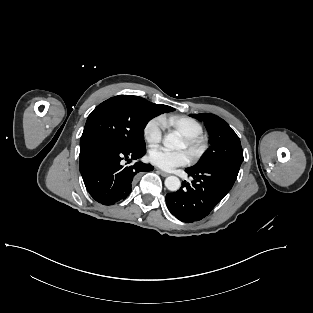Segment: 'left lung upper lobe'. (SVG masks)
<instances>
[{
  "instance_id": "left-lung-upper-lobe-1",
  "label": "left lung upper lobe",
  "mask_w": 313,
  "mask_h": 313,
  "mask_svg": "<svg viewBox=\"0 0 313 313\" xmlns=\"http://www.w3.org/2000/svg\"><path fill=\"white\" fill-rule=\"evenodd\" d=\"M203 121L210 135L211 147L205 157L193 168H202L218 164L241 165L243 162V150L240 139L233 129L220 117L214 114H191Z\"/></svg>"
}]
</instances>
